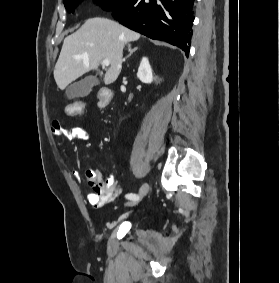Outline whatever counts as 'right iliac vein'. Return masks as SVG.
Wrapping results in <instances>:
<instances>
[{
  "instance_id": "1",
  "label": "right iliac vein",
  "mask_w": 280,
  "mask_h": 283,
  "mask_svg": "<svg viewBox=\"0 0 280 283\" xmlns=\"http://www.w3.org/2000/svg\"><path fill=\"white\" fill-rule=\"evenodd\" d=\"M148 191H149V185L147 183L143 184L138 192L139 199H142L148 193ZM138 200H131L126 203V206H134L138 203Z\"/></svg>"
}]
</instances>
